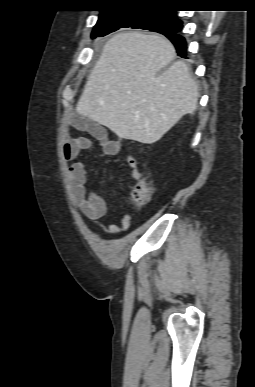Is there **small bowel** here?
Instances as JSON below:
<instances>
[{
    "mask_svg": "<svg viewBox=\"0 0 255 387\" xmlns=\"http://www.w3.org/2000/svg\"><path fill=\"white\" fill-rule=\"evenodd\" d=\"M70 129L88 132L101 142L102 150L107 155H117L122 147L120 139H110L106 130L83 115L72 116L67 123V130L63 141V154L67 161L74 160L82 150L89 149L91 142L86 137H74ZM126 163L130 168L129 176L132 180L137 181L141 177L138 169L137 160L127 154ZM70 184L69 192L74 204L89 219L94 220L98 228L107 235H115L125 232L129 229L131 221L127 214L121 217V224H111L105 226L98 219L104 217L107 213L108 206L106 200L94 190H88L87 183V165L84 162H74L68 169Z\"/></svg>",
    "mask_w": 255,
    "mask_h": 387,
    "instance_id": "small-bowel-1",
    "label": "small bowel"
}]
</instances>
